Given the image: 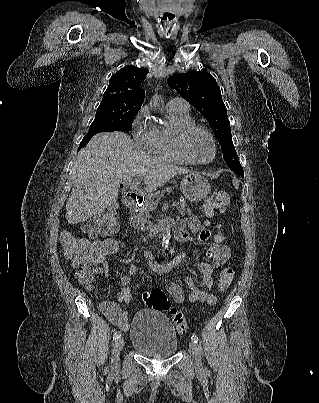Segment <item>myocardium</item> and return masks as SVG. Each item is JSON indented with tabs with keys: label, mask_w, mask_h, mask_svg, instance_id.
Segmentation results:
<instances>
[{
	"label": "myocardium",
	"mask_w": 319,
	"mask_h": 403,
	"mask_svg": "<svg viewBox=\"0 0 319 403\" xmlns=\"http://www.w3.org/2000/svg\"><path fill=\"white\" fill-rule=\"evenodd\" d=\"M194 131H202L203 133L206 134V136L209 138V140L211 142V145L213 148V153H212L211 158L206 161H199V160L194 159L188 151L187 139H188L189 135L191 133H193ZM176 148L182 158H184L187 162L196 164V165L209 164L216 158V155H217V145H216V141H215L213 134L205 126H203L201 124H197L195 122L184 125L178 130V132L176 134Z\"/></svg>",
	"instance_id": "1"
}]
</instances>
